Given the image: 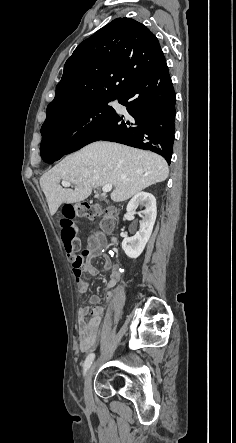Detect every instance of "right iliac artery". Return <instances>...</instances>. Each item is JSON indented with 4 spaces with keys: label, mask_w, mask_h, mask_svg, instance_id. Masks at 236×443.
<instances>
[{
    "label": "right iliac artery",
    "mask_w": 236,
    "mask_h": 443,
    "mask_svg": "<svg viewBox=\"0 0 236 443\" xmlns=\"http://www.w3.org/2000/svg\"><path fill=\"white\" fill-rule=\"evenodd\" d=\"M94 358H95V354H94V353H90V354L87 356V358H86V360H85V362H84V375L86 374V372H87L88 369L90 368V366H91V364H92Z\"/></svg>",
    "instance_id": "right-iliac-artery-1"
}]
</instances>
